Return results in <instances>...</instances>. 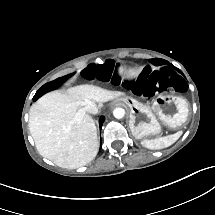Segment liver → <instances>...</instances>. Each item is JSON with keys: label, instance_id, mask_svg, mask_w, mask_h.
<instances>
[{"label": "liver", "instance_id": "obj_1", "mask_svg": "<svg viewBox=\"0 0 215 215\" xmlns=\"http://www.w3.org/2000/svg\"><path fill=\"white\" fill-rule=\"evenodd\" d=\"M124 93L92 83L48 92L29 111L28 126L38 152L62 168L75 169L91 162L99 150L94 119L83 108L104 103Z\"/></svg>", "mask_w": 215, "mask_h": 215}]
</instances>
